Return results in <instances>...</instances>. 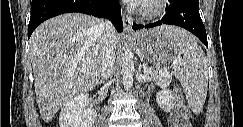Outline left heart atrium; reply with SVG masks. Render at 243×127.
<instances>
[{"label": "left heart atrium", "instance_id": "left-heart-atrium-1", "mask_svg": "<svg viewBox=\"0 0 243 127\" xmlns=\"http://www.w3.org/2000/svg\"><path fill=\"white\" fill-rule=\"evenodd\" d=\"M130 3L132 4H139V3H142L144 2L143 0H129Z\"/></svg>", "mask_w": 243, "mask_h": 127}]
</instances>
